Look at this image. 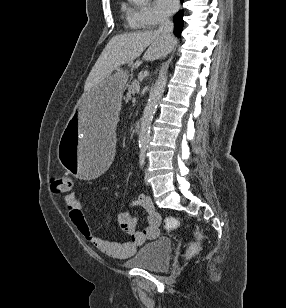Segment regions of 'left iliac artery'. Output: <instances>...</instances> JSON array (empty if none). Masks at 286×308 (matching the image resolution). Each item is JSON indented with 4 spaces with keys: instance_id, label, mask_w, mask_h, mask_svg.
<instances>
[{
    "instance_id": "44dca946",
    "label": "left iliac artery",
    "mask_w": 286,
    "mask_h": 308,
    "mask_svg": "<svg viewBox=\"0 0 286 308\" xmlns=\"http://www.w3.org/2000/svg\"><path fill=\"white\" fill-rule=\"evenodd\" d=\"M146 148L145 146L141 147V150H140V166L142 167L145 163V152H146Z\"/></svg>"
}]
</instances>
